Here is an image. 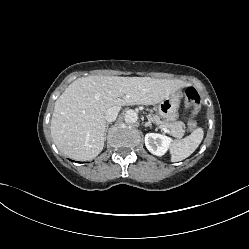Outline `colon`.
Listing matches in <instances>:
<instances>
[{
    "mask_svg": "<svg viewBox=\"0 0 249 249\" xmlns=\"http://www.w3.org/2000/svg\"><path fill=\"white\" fill-rule=\"evenodd\" d=\"M185 106L190 112L188 128L193 130L196 127V114L200 108V96L193 87H189L185 91Z\"/></svg>",
    "mask_w": 249,
    "mask_h": 249,
    "instance_id": "5ec220e1",
    "label": "colon"
}]
</instances>
